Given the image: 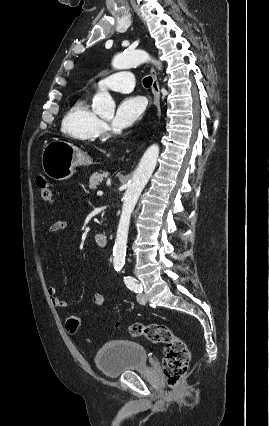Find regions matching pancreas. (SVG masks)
<instances>
[{
  "label": "pancreas",
  "mask_w": 269,
  "mask_h": 426,
  "mask_svg": "<svg viewBox=\"0 0 269 426\" xmlns=\"http://www.w3.org/2000/svg\"><path fill=\"white\" fill-rule=\"evenodd\" d=\"M105 176H106L105 173L96 172V173L92 174L90 176V179H89V183H90L89 188L91 190L96 189L97 185H99L102 182V180L105 178Z\"/></svg>",
  "instance_id": "cf45deb5"
}]
</instances>
